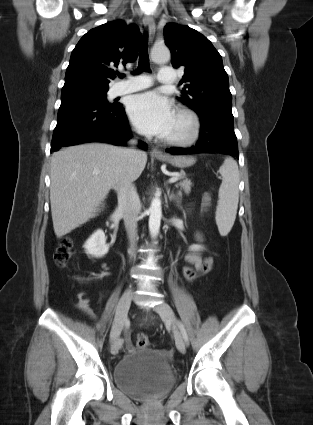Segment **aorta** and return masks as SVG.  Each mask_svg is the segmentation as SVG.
Here are the masks:
<instances>
[{"label":"aorta","mask_w":313,"mask_h":425,"mask_svg":"<svg viewBox=\"0 0 313 425\" xmlns=\"http://www.w3.org/2000/svg\"><path fill=\"white\" fill-rule=\"evenodd\" d=\"M171 54L166 46H155L151 50V58L154 62L165 63L170 60ZM149 232L152 238L158 236L162 217V207L160 198L152 200L149 208Z\"/></svg>","instance_id":"obj_1"}]
</instances>
